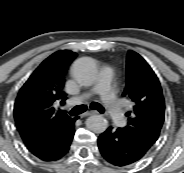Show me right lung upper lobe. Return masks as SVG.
<instances>
[{
  "instance_id": "1",
  "label": "right lung upper lobe",
  "mask_w": 184,
  "mask_h": 173,
  "mask_svg": "<svg viewBox=\"0 0 184 173\" xmlns=\"http://www.w3.org/2000/svg\"><path fill=\"white\" fill-rule=\"evenodd\" d=\"M75 57L76 53L69 50L53 53L20 89L14 118L23 139L74 119L55 107L65 103L64 75Z\"/></svg>"
}]
</instances>
